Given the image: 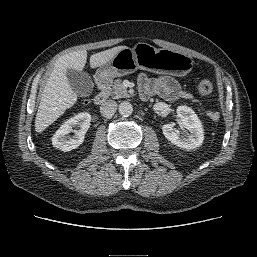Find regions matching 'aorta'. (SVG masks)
I'll use <instances>...</instances> for the list:
<instances>
[{
    "mask_svg": "<svg viewBox=\"0 0 257 257\" xmlns=\"http://www.w3.org/2000/svg\"><path fill=\"white\" fill-rule=\"evenodd\" d=\"M119 113L124 117H128L133 112V106L130 102L124 101L119 104Z\"/></svg>",
    "mask_w": 257,
    "mask_h": 257,
    "instance_id": "obj_1",
    "label": "aorta"
}]
</instances>
